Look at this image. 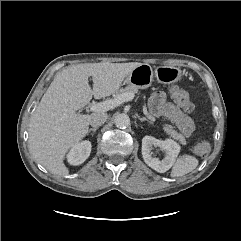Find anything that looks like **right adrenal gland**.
<instances>
[{"mask_svg": "<svg viewBox=\"0 0 241 241\" xmlns=\"http://www.w3.org/2000/svg\"><path fill=\"white\" fill-rule=\"evenodd\" d=\"M98 127H94V128H90L88 131H87V135L90 133V132H93L95 133L97 131Z\"/></svg>", "mask_w": 241, "mask_h": 241, "instance_id": "2a0ac1e0", "label": "right adrenal gland"}]
</instances>
